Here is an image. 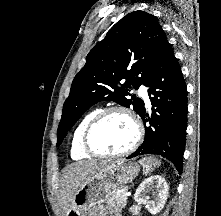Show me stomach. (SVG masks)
I'll list each match as a JSON object with an SVG mask.
<instances>
[{
  "label": "stomach",
  "mask_w": 221,
  "mask_h": 216,
  "mask_svg": "<svg viewBox=\"0 0 221 216\" xmlns=\"http://www.w3.org/2000/svg\"><path fill=\"white\" fill-rule=\"evenodd\" d=\"M140 169L136 163L118 160L106 165L86 180L74 193L66 216H86L113 196L117 189L133 181Z\"/></svg>",
  "instance_id": "1"
}]
</instances>
